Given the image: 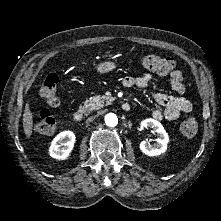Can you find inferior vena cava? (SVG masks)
Masks as SVG:
<instances>
[{
	"label": "inferior vena cava",
	"mask_w": 221,
	"mask_h": 221,
	"mask_svg": "<svg viewBox=\"0 0 221 221\" xmlns=\"http://www.w3.org/2000/svg\"><path fill=\"white\" fill-rule=\"evenodd\" d=\"M95 119V116L89 117L86 121V123L92 122Z\"/></svg>",
	"instance_id": "obj_1"
}]
</instances>
